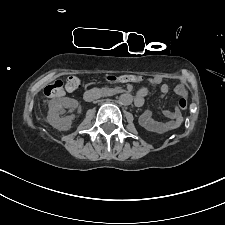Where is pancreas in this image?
<instances>
[{
  "mask_svg": "<svg viewBox=\"0 0 225 225\" xmlns=\"http://www.w3.org/2000/svg\"><path fill=\"white\" fill-rule=\"evenodd\" d=\"M101 91L105 94V95H109L111 94V92L113 91L110 88H102Z\"/></svg>",
  "mask_w": 225,
  "mask_h": 225,
  "instance_id": "1",
  "label": "pancreas"
}]
</instances>
